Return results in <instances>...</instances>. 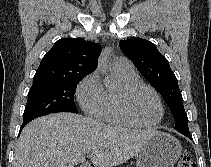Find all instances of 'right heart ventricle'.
Masks as SVG:
<instances>
[{
    "label": "right heart ventricle",
    "mask_w": 211,
    "mask_h": 167,
    "mask_svg": "<svg viewBox=\"0 0 211 167\" xmlns=\"http://www.w3.org/2000/svg\"><path fill=\"white\" fill-rule=\"evenodd\" d=\"M115 73L119 80L121 81L122 86L140 82V78L135 71L124 72L115 70ZM116 92L105 91V104L103 111L98 116V118L110 125L125 127V128H134L136 125L128 121L119 111L116 101Z\"/></svg>",
    "instance_id": "obj_1"
}]
</instances>
